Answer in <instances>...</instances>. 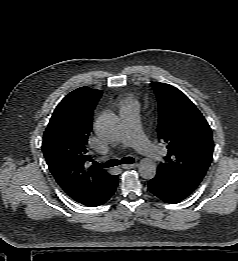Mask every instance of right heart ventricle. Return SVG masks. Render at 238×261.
<instances>
[{"instance_id": "right-heart-ventricle-1", "label": "right heart ventricle", "mask_w": 238, "mask_h": 261, "mask_svg": "<svg viewBox=\"0 0 238 261\" xmlns=\"http://www.w3.org/2000/svg\"><path fill=\"white\" fill-rule=\"evenodd\" d=\"M129 104H134L133 101L131 99H126L124 102H123V107L126 106V105H129Z\"/></svg>"}]
</instances>
